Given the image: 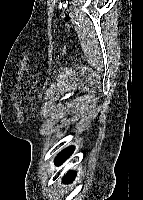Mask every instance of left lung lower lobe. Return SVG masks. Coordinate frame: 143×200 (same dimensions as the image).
Instances as JSON below:
<instances>
[{"label": "left lung lower lobe", "mask_w": 143, "mask_h": 200, "mask_svg": "<svg viewBox=\"0 0 143 200\" xmlns=\"http://www.w3.org/2000/svg\"><path fill=\"white\" fill-rule=\"evenodd\" d=\"M74 148L68 147L64 149L56 158V165H61L70 155L73 153ZM75 172H69L64 178V182L70 183L72 179L75 177Z\"/></svg>", "instance_id": "left-lung-lower-lobe-1"}]
</instances>
